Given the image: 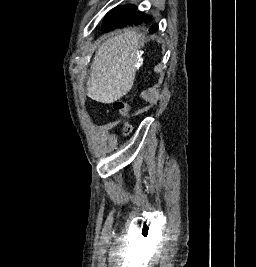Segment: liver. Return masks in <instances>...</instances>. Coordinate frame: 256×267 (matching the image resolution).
I'll return each instance as SVG.
<instances>
[{
	"mask_svg": "<svg viewBox=\"0 0 256 267\" xmlns=\"http://www.w3.org/2000/svg\"><path fill=\"white\" fill-rule=\"evenodd\" d=\"M138 40L135 30H123L99 46L87 80L88 98L113 104L130 92L140 60Z\"/></svg>",
	"mask_w": 256,
	"mask_h": 267,
	"instance_id": "liver-1",
	"label": "liver"
}]
</instances>
